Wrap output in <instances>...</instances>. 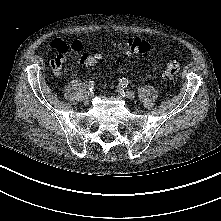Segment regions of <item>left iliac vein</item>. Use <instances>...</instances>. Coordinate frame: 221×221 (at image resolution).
Wrapping results in <instances>:
<instances>
[{
	"label": "left iliac vein",
	"instance_id": "1",
	"mask_svg": "<svg viewBox=\"0 0 221 221\" xmlns=\"http://www.w3.org/2000/svg\"><path fill=\"white\" fill-rule=\"evenodd\" d=\"M124 96H125L127 99L132 100V99L135 98V93L132 92V91L126 90V91L124 92Z\"/></svg>",
	"mask_w": 221,
	"mask_h": 221
}]
</instances>
